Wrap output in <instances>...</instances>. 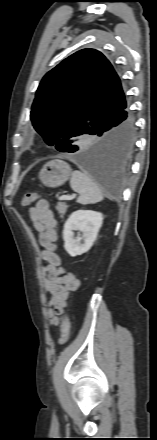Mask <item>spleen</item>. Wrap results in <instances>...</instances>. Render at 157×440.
I'll return each mask as SVG.
<instances>
[{
	"label": "spleen",
	"instance_id": "spleen-1",
	"mask_svg": "<svg viewBox=\"0 0 157 440\" xmlns=\"http://www.w3.org/2000/svg\"><path fill=\"white\" fill-rule=\"evenodd\" d=\"M71 188L79 194L77 203L82 205L94 204L103 200V194L92 179L80 171L72 172Z\"/></svg>",
	"mask_w": 157,
	"mask_h": 440
}]
</instances>
